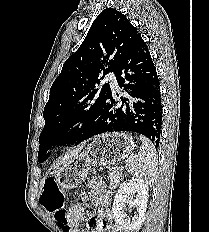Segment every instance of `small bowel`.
<instances>
[{
	"mask_svg": "<svg viewBox=\"0 0 209 232\" xmlns=\"http://www.w3.org/2000/svg\"><path fill=\"white\" fill-rule=\"evenodd\" d=\"M80 190H74L72 198L76 203H81L85 198L83 190L85 185L79 186ZM89 197L97 209L98 218L86 217L85 208L81 204L72 206L65 214L68 222L67 226H61L65 232H118L113 224V215L111 212L112 197L110 192L104 187L99 179H93L88 185ZM86 219L87 227L81 228L79 222Z\"/></svg>",
	"mask_w": 209,
	"mask_h": 232,
	"instance_id": "1",
	"label": "small bowel"
}]
</instances>
